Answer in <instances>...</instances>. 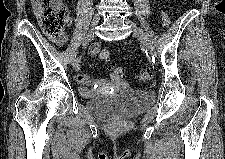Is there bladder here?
<instances>
[{
    "mask_svg": "<svg viewBox=\"0 0 225 159\" xmlns=\"http://www.w3.org/2000/svg\"><path fill=\"white\" fill-rule=\"evenodd\" d=\"M154 96L149 92L127 88L114 95L92 97L86 107L92 114L110 119L117 116L130 117L151 106Z\"/></svg>",
    "mask_w": 225,
    "mask_h": 159,
    "instance_id": "1",
    "label": "bladder"
}]
</instances>
